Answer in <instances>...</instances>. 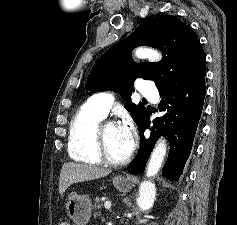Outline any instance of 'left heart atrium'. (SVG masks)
<instances>
[{"label": "left heart atrium", "instance_id": "39dd6f15", "mask_svg": "<svg viewBox=\"0 0 237 225\" xmlns=\"http://www.w3.org/2000/svg\"><path fill=\"white\" fill-rule=\"evenodd\" d=\"M119 127L120 134L123 138L126 155H130L135 147L136 132L131 120H125Z\"/></svg>", "mask_w": 237, "mask_h": 225}]
</instances>
